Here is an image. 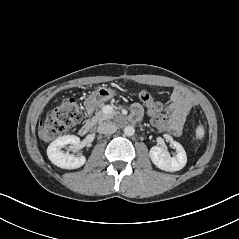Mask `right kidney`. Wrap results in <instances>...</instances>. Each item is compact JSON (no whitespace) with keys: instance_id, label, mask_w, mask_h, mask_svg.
<instances>
[{"instance_id":"right-kidney-1","label":"right kidney","mask_w":239,"mask_h":239,"mask_svg":"<svg viewBox=\"0 0 239 239\" xmlns=\"http://www.w3.org/2000/svg\"><path fill=\"white\" fill-rule=\"evenodd\" d=\"M80 138L75 135H64L55 139L47 148L49 160L56 166L63 169H76L83 166L86 162L84 156L75 157L68 152H63L61 149L68 144L71 147L78 146Z\"/></svg>"}]
</instances>
